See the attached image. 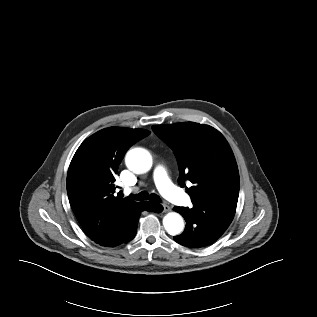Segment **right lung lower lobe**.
Listing matches in <instances>:
<instances>
[{"mask_svg":"<svg viewBox=\"0 0 317 317\" xmlns=\"http://www.w3.org/2000/svg\"><path fill=\"white\" fill-rule=\"evenodd\" d=\"M163 207L160 204L151 202L139 203L122 221V226L115 234H108L103 232L100 226L90 225L84 227L86 235L95 243L105 246L114 247L132 240L137 232L138 219L142 211L162 212Z\"/></svg>","mask_w":317,"mask_h":317,"instance_id":"98d812e1","label":"right lung lower lobe"}]
</instances>
